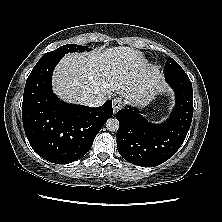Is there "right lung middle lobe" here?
<instances>
[{"label":"right lung middle lobe","instance_id":"dd1d6c3e","mask_svg":"<svg viewBox=\"0 0 222 222\" xmlns=\"http://www.w3.org/2000/svg\"><path fill=\"white\" fill-rule=\"evenodd\" d=\"M85 50L90 51V49H88L87 46L67 44L59 47L54 51L45 53L40 59L51 58V57H63L65 54L70 52H77V51L83 52Z\"/></svg>","mask_w":222,"mask_h":222}]
</instances>
